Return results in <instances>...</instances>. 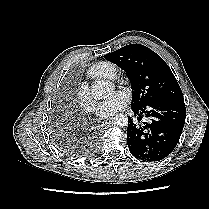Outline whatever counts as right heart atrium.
Returning a JSON list of instances; mask_svg holds the SVG:
<instances>
[{
  "label": "right heart atrium",
  "mask_w": 209,
  "mask_h": 209,
  "mask_svg": "<svg viewBox=\"0 0 209 209\" xmlns=\"http://www.w3.org/2000/svg\"><path fill=\"white\" fill-rule=\"evenodd\" d=\"M76 100L80 107L86 112V113H94L96 110V104L94 100L92 99L88 89L85 86H81L76 95Z\"/></svg>",
  "instance_id": "d8ad5b80"
}]
</instances>
